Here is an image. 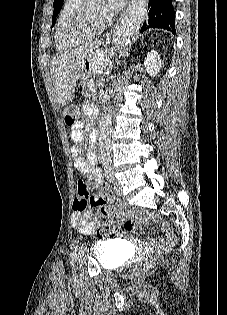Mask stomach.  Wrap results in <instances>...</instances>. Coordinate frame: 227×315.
Listing matches in <instances>:
<instances>
[{"instance_id": "1", "label": "stomach", "mask_w": 227, "mask_h": 315, "mask_svg": "<svg viewBox=\"0 0 227 315\" xmlns=\"http://www.w3.org/2000/svg\"><path fill=\"white\" fill-rule=\"evenodd\" d=\"M82 76H83V80H79L78 85H79V87H81V89L83 91H86L88 89L87 82H93V80H94V77H93L94 76V70H93L91 58H89L86 61V65H85V68L83 70Z\"/></svg>"}]
</instances>
